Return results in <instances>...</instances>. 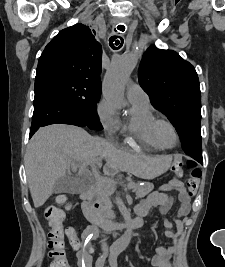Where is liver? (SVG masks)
<instances>
[{"mask_svg":"<svg viewBox=\"0 0 225 267\" xmlns=\"http://www.w3.org/2000/svg\"><path fill=\"white\" fill-rule=\"evenodd\" d=\"M146 177V167L139 157L124 153L113 144L92 137L84 129L67 124L40 128L31 138L24 156L27 182L35 208L41 207L53 193L57 179L77 171L78 163L102 164ZM80 172H82L80 170Z\"/></svg>","mask_w":225,"mask_h":267,"instance_id":"liver-1","label":"liver"}]
</instances>
